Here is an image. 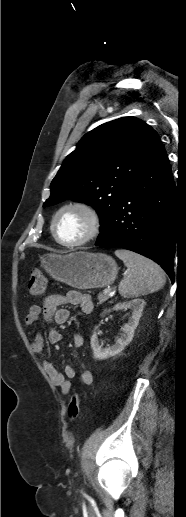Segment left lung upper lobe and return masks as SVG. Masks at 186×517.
Instances as JSON below:
<instances>
[{
	"label": "left lung upper lobe",
	"instance_id": "1",
	"mask_svg": "<svg viewBox=\"0 0 186 517\" xmlns=\"http://www.w3.org/2000/svg\"><path fill=\"white\" fill-rule=\"evenodd\" d=\"M161 146L158 134L137 118L98 126L66 157L43 206L65 199L86 202L98 212L101 230Z\"/></svg>",
	"mask_w": 186,
	"mask_h": 517
}]
</instances>
